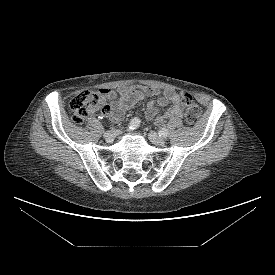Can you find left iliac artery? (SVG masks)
<instances>
[{"mask_svg":"<svg viewBox=\"0 0 275 275\" xmlns=\"http://www.w3.org/2000/svg\"><path fill=\"white\" fill-rule=\"evenodd\" d=\"M168 134H169V132L166 128H161L159 130V136H162V137L166 138L168 136Z\"/></svg>","mask_w":275,"mask_h":275,"instance_id":"1","label":"left iliac artery"}]
</instances>
